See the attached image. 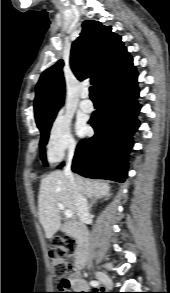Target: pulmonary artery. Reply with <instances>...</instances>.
<instances>
[{
    "mask_svg": "<svg viewBox=\"0 0 170 293\" xmlns=\"http://www.w3.org/2000/svg\"><path fill=\"white\" fill-rule=\"evenodd\" d=\"M89 97V93L88 91H83L81 93V102H80V108L84 111V112H92L94 109V105L93 103L88 99Z\"/></svg>",
    "mask_w": 170,
    "mask_h": 293,
    "instance_id": "e3ab8cb5",
    "label": "pulmonary artery"
}]
</instances>
